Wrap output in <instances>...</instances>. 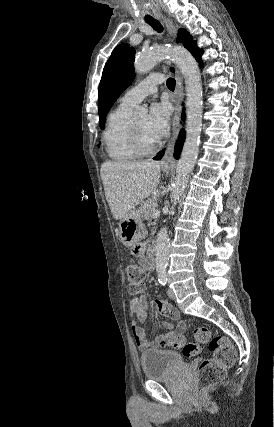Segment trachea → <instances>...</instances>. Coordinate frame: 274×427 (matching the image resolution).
Returning a JSON list of instances; mask_svg holds the SVG:
<instances>
[{"instance_id": "trachea-1", "label": "trachea", "mask_w": 274, "mask_h": 427, "mask_svg": "<svg viewBox=\"0 0 274 427\" xmlns=\"http://www.w3.org/2000/svg\"><path fill=\"white\" fill-rule=\"evenodd\" d=\"M146 23H148L150 26H152L153 29L155 31H157L158 33H161L163 31L162 25L155 18H148V19H146ZM167 87L169 88V90L174 91V89H175V80H174V78H169L167 80Z\"/></svg>"}]
</instances>
